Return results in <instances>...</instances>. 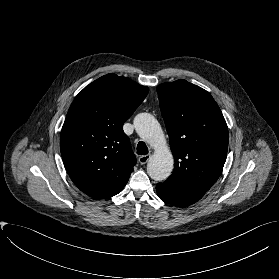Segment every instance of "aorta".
<instances>
[{
    "instance_id": "1",
    "label": "aorta",
    "mask_w": 279,
    "mask_h": 279,
    "mask_svg": "<svg viewBox=\"0 0 279 279\" xmlns=\"http://www.w3.org/2000/svg\"><path fill=\"white\" fill-rule=\"evenodd\" d=\"M137 134L155 152L147 164V173L155 181L167 179L174 167L173 155L166 144L159 122L149 113H140L134 119Z\"/></svg>"
}]
</instances>
